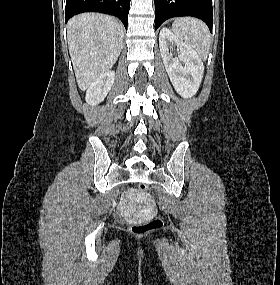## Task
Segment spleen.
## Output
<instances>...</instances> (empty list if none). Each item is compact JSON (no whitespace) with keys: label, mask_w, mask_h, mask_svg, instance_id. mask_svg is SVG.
I'll use <instances>...</instances> for the list:
<instances>
[{"label":"spleen","mask_w":280,"mask_h":285,"mask_svg":"<svg viewBox=\"0 0 280 285\" xmlns=\"http://www.w3.org/2000/svg\"><path fill=\"white\" fill-rule=\"evenodd\" d=\"M172 30L180 40L192 47L201 59L206 60L210 33L205 23L190 17L178 18L173 22Z\"/></svg>","instance_id":"obj_1"}]
</instances>
